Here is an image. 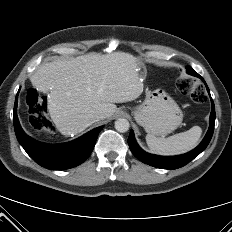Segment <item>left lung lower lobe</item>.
I'll list each match as a JSON object with an SVG mask.
<instances>
[{"label": "left lung lower lobe", "mask_w": 232, "mask_h": 232, "mask_svg": "<svg viewBox=\"0 0 232 232\" xmlns=\"http://www.w3.org/2000/svg\"><path fill=\"white\" fill-rule=\"evenodd\" d=\"M187 73L200 77L201 76L196 73L190 66L187 67ZM203 80V78H201ZM205 83V81L203 80ZM206 85V83H205ZM206 88L209 92V89L206 85ZM210 94V92H209ZM211 103H212V111L210 115V126L209 130L203 139V141L200 143L199 146H197L194 150L183 154L179 156H171V157H163V156H156V155H151L146 152H144L136 143L134 139V134L133 131L131 130L129 138H128V144L130 147L131 152L136 156L137 159H139L141 162L146 163L148 165H151L156 168H161V169H177L180 167H183L184 165L188 164L191 160H193L196 156H198L202 151L205 150V148L208 146L212 135L214 131V124H215V106L214 102L211 98Z\"/></svg>", "instance_id": "obj_1"}]
</instances>
